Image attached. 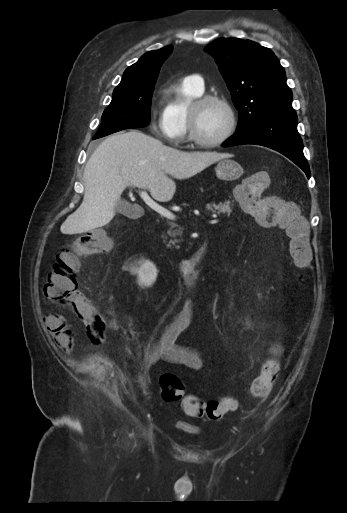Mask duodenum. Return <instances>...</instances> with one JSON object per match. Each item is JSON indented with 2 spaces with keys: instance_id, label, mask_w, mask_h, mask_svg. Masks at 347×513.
Listing matches in <instances>:
<instances>
[{
  "instance_id": "duodenum-1",
  "label": "duodenum",
  "mask_w": 347,
  "mask_h": 513,
  "mask_svg": "<svg viewBox=\"0 0 347 513\" xmlns=\"http://www.w3.org/2000/svg\"><path fill=\"white\" fill-rule=\"evenodd\" d=\"M207 252V245H202L189 258L181 260L175 264L178 277L183 281H191L196 276V268L203 260Z\"/></svg>"
}]
</instances>
